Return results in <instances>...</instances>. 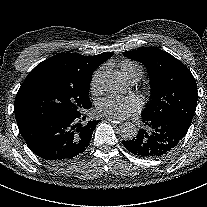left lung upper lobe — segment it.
Wrapping results in <instances>:
<instances>
[{
	"mask_svg": "<svg viewBox=\"0 0 207 207\" xmlns=\"http://www.w3.org/2000/svg\"><path fill=\"white\" fill-rule=\"evenodd\" d=\"M123 55L145 65L150 77V103L142 118H171L189 129L198 100L197 85L190 70L171 54L145 47Z\"/></svg>",
	"mask_w": 207,
	"mask_h": 207,
	"instance_id": "5c2ea615",
	"label": "left lung upper lobe"
}]
</instances>
